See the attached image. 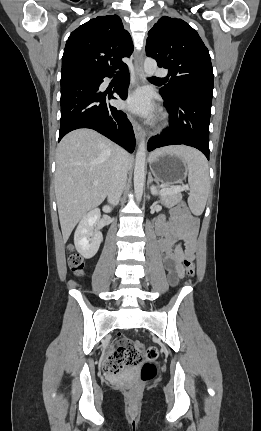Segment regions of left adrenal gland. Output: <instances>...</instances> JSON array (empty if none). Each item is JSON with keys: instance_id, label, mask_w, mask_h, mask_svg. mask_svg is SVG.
Segmentation results:
<instances>
[{"instance_id": "1", "label": "left adrenal gland", "mask_w": 261, "mask_h": 431, "mask_svg": "<svg viewBox=\"0 0 261 431\" xmlns=\"http://www.w3.org/2000/svg\"><path fill=\"white\" fill-rule=\"evenodd\" d=\"M152 181H153V178H152L151 174L149 173V175H148V182H147L148 187H149V184H150Z\"/></svg>"}]
</instances>
